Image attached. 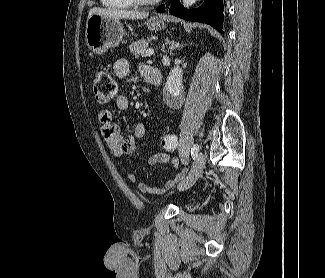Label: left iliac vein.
<instances>
[{
    "mask_svg": "<svg viewBox=\"0 0 325 278\" xmlns=\"http://www.w3.org/2000/svg\"><path fill=\"white\" fill-rule=\"evenodd\" d=\"M205 155L199 153L192 165V169L188 176L178 185V190L183 191L192 187L195 182L198 180L205 166Z\"/></svg>",
    "mask_w": 325,
    "mask_h": 278,
    "instance_id": "4c4485c4",
    "label": "left iliac vein"
}]
</instances>
